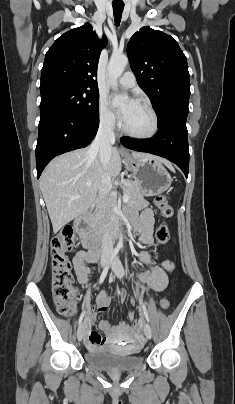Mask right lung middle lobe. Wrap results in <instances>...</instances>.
Wrapping results in <instances>:
<instances>
[{
    "instance_id": "1",
    "label": "right lung middle lobe",
    "mask_w": 235,
    "mask_h": 404,
    "mask_svg": "<svg viewBox=\"0 0 235 404\" xmlns=\"http://www.w3.org/2000/svg\"><path fill=\"white\" fill-rule=\"evenodd\" d=\"M40 115L63 112L76 117H90L98 112V89L52 82L40 85Z\"/></svg>"
}]
</instances>
